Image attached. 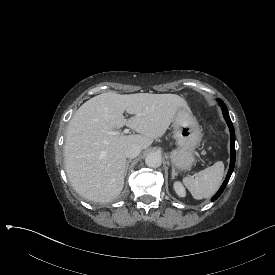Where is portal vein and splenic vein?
<instances>
[{
    "label": "portal vein and splenic vein",
    "mask_w": 275,
    "mask_h": 275,
    "mask_svg": "<svg viewBox=\"0 0 275 275\" xmlns=\"http://www.w3.org/2000/svg\"><path fill=\"white\" fill-rule=\"evenodd\" d=\"M138 116H141V114L138 113ZM128 132H129V129H125V130H124V133H128ZM107 134H108V135H117L118 132H115V131H108Z\"/></svg>",
    "instance_id": "18ae733b"
}]
</instances>
